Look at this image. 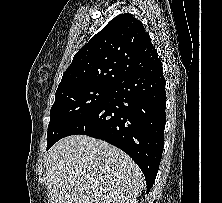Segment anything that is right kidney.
<instances>
[{
	"mask_svg": "<svg viewBox=\"0 0 222 203\" xmlns=\"http://www.w3.org/2000/svg\"><path fill=\"white\" fill-rule=\"evenodd\" d=\"M125 203H138L135 198L128 199Z\"/></svg>",
	"mask_w": 222,
	"mask_h": 203,
	"instance_id": "1",
	"label": "right kidney"
}]
</instances>
